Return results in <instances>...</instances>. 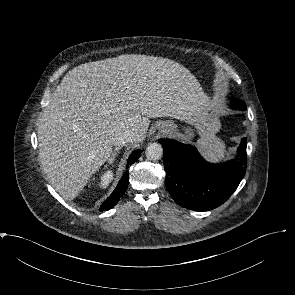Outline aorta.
<instances>
[{
  "label": "aorta",
  "mask_w": 295,
  "mask_h": 295,
  "mask_svg": "<svg viewBox=\"0 0 295 295\" xmlns=\"http://www.w3.org/2000/svg\"><path fill=\"white\" fill-rule=\"evenodd\" d=\"M145 155L148 160H159L163 155V148L159 143H150L146 148Z\"/></svg>",
  "instance_id": "762f6f07"
}]
</instances>
